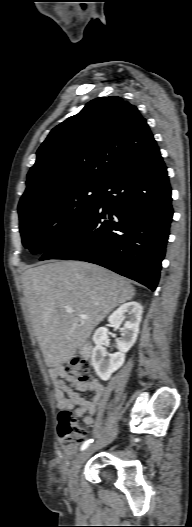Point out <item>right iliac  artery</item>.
<instances>
[{
	"label": "right iliac artery",
	"instance_id": "1",
	"mask_svg": "<svg viewBox=\"0 0 192 527\" xmlns=\"http://www.w3.org/2000/svg\"><path fill=\"white\" fill-rule=\"evenodd\" d=\"M92 442H93V439H88V440H86V441L82 444V446H81V451L87 449L88 446H89Z\"/></svg>",
	"mask_w": 192,
	"mask_h": 527
}]
</instances>
